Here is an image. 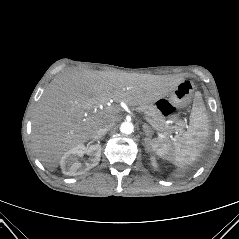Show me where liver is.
I'll return each mask as SVG.
<instances>
[{"mask_svg":"<svg viewBox=\"0 0 239 239\" xmlns=\"http://www.w3.org/2000/svg\"><path fill=\"white\" fill-rule=\"evenodd\" d=\"M181 81L169 76L85 69L62 72L50 82L35 108L32 141L39 160L54 171L62 156L93 138L101 124L115 123L117 116L108 106L110 102L122 101L129 106L152 103Z\"/></svg>","mask_w":239,"mask_h":239,"instance_id":"obj_1","label":"liver"}]
</instances>
